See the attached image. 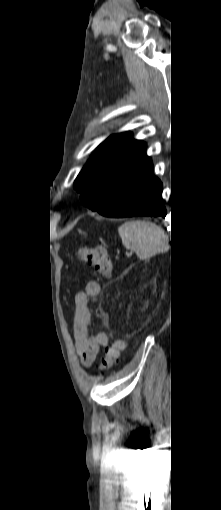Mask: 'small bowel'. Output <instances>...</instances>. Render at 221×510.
Here are the masks:
<instances>
[{
    "instance_id": "obj_1",
    "label": "small bowel",
    "mask_w": 221,
    "mask_h": 510,
    "mask_svg": "<svg viewBox=\"0 0 221 510\" xmlns=\"http://www.w3.org/2000/svg\"><path fill=\"white\" fill-rule=\"evenodd\" d=\"M101 292L100 284L90 280L85 290L76 295L73 311V330L77 354L85 367H90L101 349L109 344V337L105 332H98L91 336L89 328L91 324V312L89 300L98 299Z\"/></svg>"
}]
</instances>
